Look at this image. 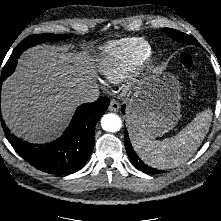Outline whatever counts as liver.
Segmentation results:
<instances>
[{
  "label": "liver",
  "mask_w": 221,
  "mask_h": 221,
  "mask_svg": "<svg viewBox=\"0 0 221 221\" xmlns=\"http://www.w3.org/2000/svg\"><path fill=\"white\" fill-rule=\"evenodd\" d=\"M85 62L54 47L27 50L2 88V116L11 132L32 142L55 137L80 103L77 94L93 83Z\"/></svg>",
  "instance_id": "1"
}]
</instances>
